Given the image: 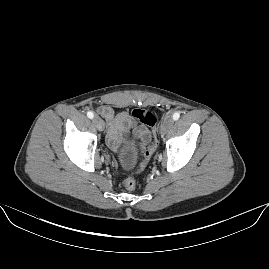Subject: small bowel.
Masks as SVG:
<instances>
[{"label": "small bowel", "instance_id": "1", "mask_svg": "<svg viewBox=\"0 0 269 269\" xmlns=\"http://www.w3.org/2000/svg\"><path fill=\"white\" fill-rule=\"evenodd\" d=\"M97 110L109 121L107 143L111 149L116 150L123 136L134 132L139 138L141 149L144 150L146 138L149 133L144 126L137 125L133 122L125 111L115 114L113 109L109 106H101Z\"/></svg>", "mask_w": 269, "mask_h": 269}]
</instances>
